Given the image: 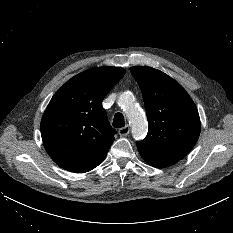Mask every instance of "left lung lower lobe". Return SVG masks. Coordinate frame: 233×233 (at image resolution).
Returning a JSON list of instances; mask_svg holds the SVG:
<instances>
[{
  "mask_svg": "<svg viewBox=\"0 0 233 233\" xmlns=\"http://www.w3.org/2000/svg\"><path fill=\"white\" fill-rule=\"evenodd\" d=\"M138 151H139L140 155L142 156V158L148 164H150L151 166L157 167V168L168 167V166H171V165L178 162V160L150 155V154H147V153H145V152H143L141 150H138Z\"/></svg>",
  "mask_w": 233,
  "mask_h": 233,
  "instance_id": "left-lung-lower-lobe-1",
  "label": "left lung lower lobe"
}]
</instances>
